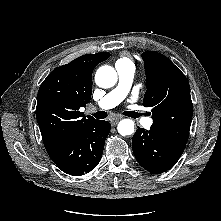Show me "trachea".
I'll return each instance as SVG.
<instances>
[{
  "instance_id": "3493384b",
  "label": "trachea",
  "mask_w": 221,
  "mask_h": 221,
  "mask_svg": "<svg viewBox=\"0 0 221 221\" xmlns=\"http://www.w3.org/2000/svg\"><path fill=\"white\" fill-rule=\"evenodd\" d=\"M93 116L97 119H104L107 117V113L104 111H98L96 113L93 114ZM132 118H137L140 116V113H136V112H129V115Z\"/></svg>"
}]
</instances>
